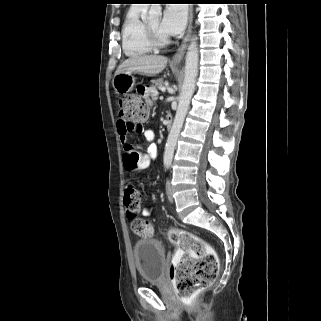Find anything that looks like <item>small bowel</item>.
<instances>
[{"mask_svg": "<svg viewBox=\"0 0 321 321\" xmlns=\"http://www.w3.org/2000/svg\"><path fill=\"white\" fill-rule=\"evenodd\" d=\"M146 85L145 83H138L137 87H135L134 92L135 94H138L139 97H145V99L150 102L151 101V95L148 90H145ZM117 131L119 135V139L121 142V146L124 152V160L127 155L131 154L134 151H138L134 146H132L128 141V135L131 130L128 129V127L125 125L124 122L121 120L117 123ZM143 134L145 137V141L147 143H151L155 139V132L152 129H144ZM157 154L156 146L150 145L147 150V154L145 156L148 159V163L150 158L155 157ZM142 214L144 216H149L151 214L150 210L145 208L142 211Z\"/></svg>", "mask_w": 321, "mask_h": 321, "instance_id": "obj_1", "label": "small bowel"}]
</instances>
